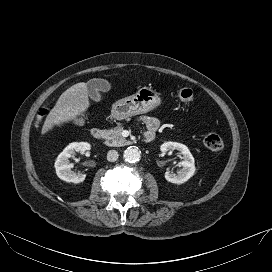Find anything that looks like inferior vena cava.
Listing matches in <instances>:
<instances>
[{"instance_id": "inferior-vena-cava-1", "label": "inferior vena cava", "mask_w": 272, "mask_h": 272, "mask_svg": "<svg viewBox=\"0 0 272 272\" xmlns=\"http://www.w3.org/2000/svg\"><path fill=\"white\" fill-rule=\"evenodd\" d=\"M119 154L116 150H110L107 153V160L110 162H114L118 159Z\"/></svg>"}]
</instances>
